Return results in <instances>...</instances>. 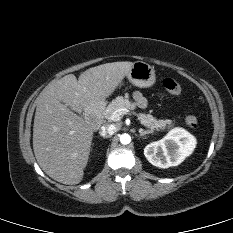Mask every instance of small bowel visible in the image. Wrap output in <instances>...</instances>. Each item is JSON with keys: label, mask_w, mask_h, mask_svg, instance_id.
Here are the masks:
<instances>
[{"label": "small bowel", "mask_w": 233, "mask_h": 233, "mask_svg": "<svg viewBox=\"0 0 233 233\" xmlns=\"http://www.w3.org/2000/svg\"><path fill=\"white\" fill-rule=\"evenodd\" d=\"M133 98H134V100H135V102H136V104L138 106L145 107L146 101H145V98L143 97V95L140 92H138V91L134 92L133 93Z\"/></svg>", "instance_id": "1"}]
</instances>
